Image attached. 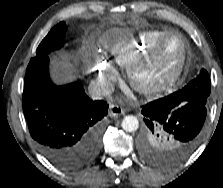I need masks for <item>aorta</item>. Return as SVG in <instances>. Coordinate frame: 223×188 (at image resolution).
Returning <instances> with one entry per match:
<instances>
[{
  "label": "aorta",
  "mask_w": 223,
  "mask_h": 188,
  "mask_svg": "<svg viewBox=\"0 0 223 188\" xmlns=\"http://www.w3.org/2000/svg\"><path fill=\"white\" fill-rule=\"evenodd\" d=\"M122 128L127 132H134L139 128V121L136 116L128 115L122 120Z\"/></svg>",
  "instance_id": "762f6f07"
}]
</instances>
